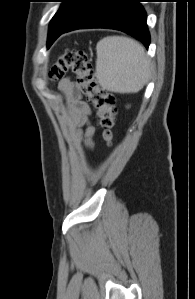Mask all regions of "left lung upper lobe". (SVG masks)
<instances>
[{"mask_svg":"<svg viewBox=\"0 0 195 299\" xmlns=\"http://www.w3.org/2000/svg\"><path fill=\"white\" fill-rule=\"evenodd\" d=\"M87 1L88 0H61L63 4L49 25L48 41L54 32L68 26L77 17Z\"/></svg>","mask_w":195,"mask_h":299,"instance_id":"left-lung-upper-lobe-1","label":"left lung upper lobe"}]
</instances>
